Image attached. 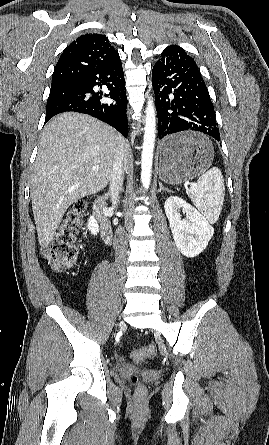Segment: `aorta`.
<instances>
[{
	"instance_id": "aorta-1",
	"label": "aorta",
	"mask_w": 269,
	"mask_h": 445,
	"mask_svg": "<svg viewBox=\"0 0 269 445\" xmlns=\"http://www.w3.org/2000/svg\"><path fill=\"white\" fill-rule=\"evenodd\" d=\"M156 137V115L153 98H150L146 107V119L141 154V181L144 188L148 189L151 181L153 152Z\"/></svg>"
}]
</instances>
